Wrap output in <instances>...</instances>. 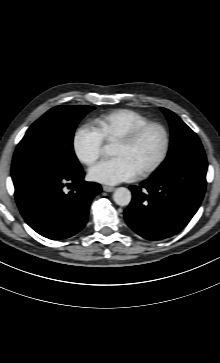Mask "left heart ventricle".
<instances>
[{"label": "left heart ventricle", "instance_id": "left-heart-ventricle-1", "mask_svg": "<svg viewBox=\"0 0 220 363\" xmlns=\"http://www.w3.org/2000/svg\"><path fill=\"white\" fill-rule=\"evenodd\" d=\"M163 137L158 129H150L130 146L115 144L113 154L126 158L137 172L151 165L158 157Z\"/></svg>", "mask_w": 220, "mask_h": 363}]
</instances>
